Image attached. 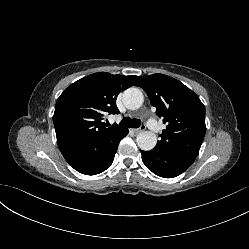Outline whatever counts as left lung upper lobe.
Wrapping results in <instances>:
<instances>
[{
	"label": "left lung upper lobe",
	"mask_w": 249,
	"mask_h": 249,
	"mask_svg": "<svg viewBox=\"0 0 249 249\" xmlns=\"http://www.w3.org/2000/svg\"><path fill=\"white\" fill-rule=\"evenodd\" d=\"M136 85L145 90L157 115L167 124L154 150L196 158L206 132L205 107L198 96L164 74L146 76Z\"/></svg>",
	"instance_id": "5c2ea615"
}]
</instances>
